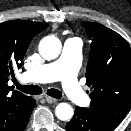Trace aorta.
I'll return each instance as SVG.
<instances>
[{
    "label": "aorta",
    "instance_id": "1",
    "mask_svg": "<svg viewBox=\"0 0 131 131\" xmlns=\"http://www.w3.org/2000/svg\"><path fill=\"white\" fill-rule=\"evenodd\" d=\"M61 42L55 36L44 37L39 44V53L46 60L57 58L61 52ZM73 108L68 103H60L55 108V114L62 121L70 120L73 116Z\"/></svg>",
    "mask_w": 131,
    "mask_h": 131
}]
</instances>
